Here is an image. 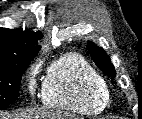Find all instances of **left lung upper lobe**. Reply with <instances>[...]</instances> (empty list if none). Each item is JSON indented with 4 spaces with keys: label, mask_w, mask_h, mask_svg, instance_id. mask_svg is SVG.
Returning a JSON list of instances; mask_svg holds the SVG:
<instances>
[{
    "label": "left lung upper lobe",
    "mask_w": 142,
    "mask_h": 119,
    "mask_svg": "<svg viewBox=\"0 0 142 119\" xmlns=\"http://www.w3.org/2000/svg\"><path fill=\"white\" fill-rule=\"evenodd\" d=\"M88 50L99 69L114 78L116 76L115 68L106 52L92 42L88 43Z\"/></svg>",
    "instance_id": "5c2ea615"
}]
</instances>
